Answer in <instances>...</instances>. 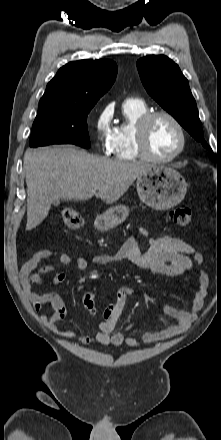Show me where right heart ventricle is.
Masks as SVG:
<instances>
[{"label":"right heart ventricle","instance_id":"1","mask_svg":"<svg viewBox=\"0 0 221 440\" xmlns=\"http://www.w3.org/2000/svg\"><path fill=\"white\" fill-rule=\"evenodd\" d=\"M149 107L140 99H127L122 105L124 120L114 128L111 152L117 160L141 158L136 144L135 129L139 119L148 113Z\"/></svg>","mask_w":221,"mask_h":440}]
</instances>
